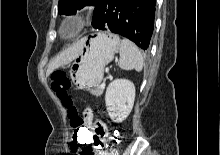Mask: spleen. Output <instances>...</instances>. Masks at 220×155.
Returning <instances> with one entry per match:
<instances>
[{"label": "spleen", "instance_id": "3e777b00", "mask_svg": "<svg viewBox=\"0 0 220 155\" xmlns=\"http://www.w3.org/2000/svg\"><path fill=\"white\" fill-rule=\"evenodd\" d=\"M119 67L123 70H136L140 72L144 60L137 46L130 40L124 38L120 45Z\"/></svg>", "mask_w": 220, "mask_h": 155}]
</instances>
